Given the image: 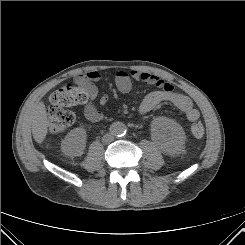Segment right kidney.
Segmentation results:
<instances>
[{
  "label": "right kidney",
  "instance_id": "right-kidney-1",
  "mask_svg": "<svg viewBox=\"0 0 245 245\" xmlns=\"http://www.w3.org/2000/svg\"><path fill=\"white\" fill-rule=\"evenodd\" d=\"M86 136L82 127L71 130L62 142V152L68 156H80L86 146Z\"/></svg>",
  "mask_w": 245,
  "mask_h": 245
}]
</instances>
